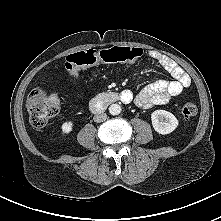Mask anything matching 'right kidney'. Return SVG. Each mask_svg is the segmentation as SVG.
Returning <instances> with one entry per match:
<instances>
[{
  "label": "right kidney",
  "instance_id": "ca27d5eb",
  "mask_svg": "<svg viewBox=\"0 0 221 221\" xmlns=\"http://www.w3.org/2000/svg\"><path fill=\"white\" fill-rule=\"evenodd\" d=\"M62 134H69L73 130V122L68 121L62 124L61 126Z\"/></svg>",
  "mask_w": 221,
  "mask_h": 221
}]
</instances>
